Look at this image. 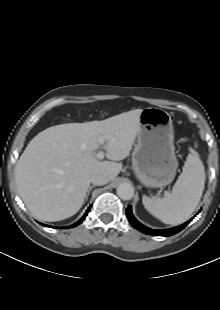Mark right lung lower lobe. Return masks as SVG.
I'll list each match as a JSON object with an SVG mask.
<instances>
[{"mask_svg": "<svg viewBox=\"0 0 220 310\" xmlns=\"http://www.w3.org/2000/svg\"><path fill=\"white\" fill-rule=\"evenodd\" d=\"M89 210H90V207L88 208V210L86 211V213L84 214V216H83L79 221H77L76 223H74L73 225H71L70 227H75V226L79 225V224L86 218V216H87ZM41 225L47 226V225H44V224H41Z\"/></svg>", "mask_w": 220, "mask_h": 310, "instance_id": "1", "label": "right lung lower lobe"}]
</instances>
